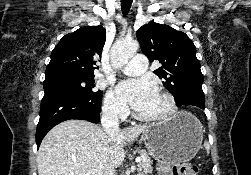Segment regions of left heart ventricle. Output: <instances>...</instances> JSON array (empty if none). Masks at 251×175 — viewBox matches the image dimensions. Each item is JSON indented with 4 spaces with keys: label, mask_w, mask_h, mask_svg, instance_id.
<instances>
[{
    "label": "left heart ventricle",
    "mask_w": 251,
    "mask_h": 175,
    "mask_svg": "<svg viewBox=\"0 0 251 175\" xmlns=\"http://www.w3.org/2000/svg\"><path fill=\"white\" fill-rule=\"evenodd\" d=\"M166 108L167 106L165 101L160 95H158L153 105L144 114L148 116L161 114L166 110Z\"/></svg>",
    "instance_id": "1"
}]
</instances>
